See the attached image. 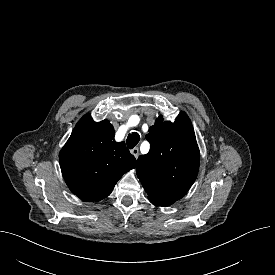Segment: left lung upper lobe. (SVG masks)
Returning a JSON list of instances; mask_svg holds the SVG:
<instances>
[{
  "label": "left lung upper lobe",
  "instance_id": "left-lung-upper-lobe-1",
  "mask_svg": "<svg viewBox=\"0 0 275 275\" xmlns=\"http://www.w3.org/2000/svg\"><path fill=\"white\" fill-rule=\"evenodd\" d=\"M147 154L138 158L137 176L148 199L174 203L194 183L199 169V148L192 123L183 111L176 120L159 116L149 128Z\"/></svg>",
  "mask_w": 275,
  "mask_h": 275
}]
</instances>
